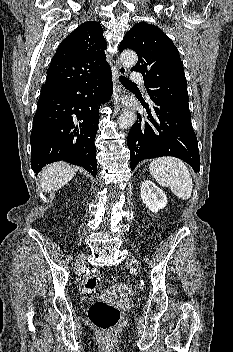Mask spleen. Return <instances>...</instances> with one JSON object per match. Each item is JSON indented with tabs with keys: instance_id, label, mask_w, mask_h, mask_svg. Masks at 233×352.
I'll return each instance as SVG.
<instances>
[{
	"instance_id": "obj_1",
	"label": "spleen",
	"mask_w": 233,
	"mask_h": 352,
	"mask_svg": "<svg viewBox=\"0 0 233 352\" xmlns=\"http://www.w3.org/2000/svg\"><path fill=\"white\" fill-rule=\"evenodd\" d=\"M149 170L157 183L163 187H170L179 199L187 200L191 197L193 181L187 166L183 161L174 157L154 159Z\"/></svg>"
}]
</instances>
